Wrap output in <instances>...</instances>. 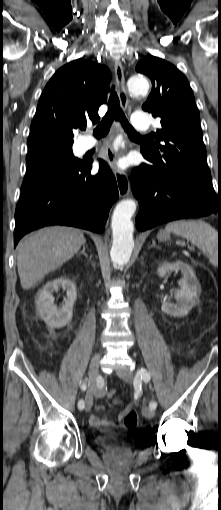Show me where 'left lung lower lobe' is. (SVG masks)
<instances>
[{
    "label": "left lung lower lobe",
    "instance_id": "0a47b994",
    "mask_svg": "<svg viewBox=\"0 0 221 510\" xmlns=\"http://www.w3.org/2000/svg\"><path fill=\"white\" fill-rule=\"evenodd\" d=\"M148 163L135 168L130 177L132 192L140 204L136 227L145 231L178 219L197 218L212 213L221 219V192L212 182L193 177L165 178Z\"/></svg>",
    "mask_w": 221,
    "mask_h": 510
}]
</instances>
